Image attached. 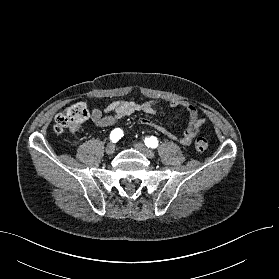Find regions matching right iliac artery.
Returning a JSON list of instances; mask_svg holds the SVG:
<instances>
[{"label":"right iliac artery","mask_w":279,"mask_h":279,"mask_svg":"<svg viewBox=\"0 0 279 279\" xmlns=\"http://www.w3.org/2000/svg\"><path fill=\"white\" fill-rule=\"evenodd\" d=\"M122 136L123 131L120 128H116L110 133V139L113 143H116Z\"/></svg>","instance_id":"82829eb1"}]
</instances>
